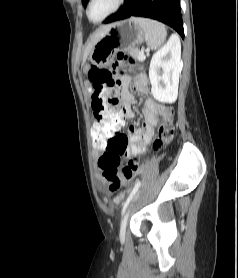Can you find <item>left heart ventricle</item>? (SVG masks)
I'll use <instances>...</instances> for the list:
<instances>
[{
	"label": "left heart ventricle",
	"mask_w": 238,
	"mask_h": 278,
	"mask_svg": "<svg viewBox=\"0 0 238 278\" xmlns=\"http://www.w3.org/2000/svg\"><path fill=\"white\" fill-rule=\"evenodd\" d=\"M117 0H93L89 15L94 21H98L106 16L116 5Z\"/></svg>",
	"instance_id": "1"
}]
</instances>
